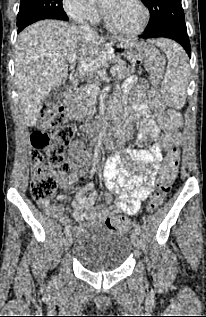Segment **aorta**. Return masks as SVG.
I'll list each match as a JSON object with an SVG mask.
<instances>
[{
  "mask_svg": "<svg viewBox=\"0 0 206 317\" xmlns=\"http://www.w3.org/2000/svg\"><path fill=\"white\" fill-rule=\"evenodd\" d=\"M90 3H92V2H96L97 0H88ZM107 149H110L111 148V140H110V138L109 139H107Z\"/></svg>",
  "mask_w": 206,
  "mask_h": 317,
  "instance_id": "1",
  "label": "aorta"
}]
</instances>
